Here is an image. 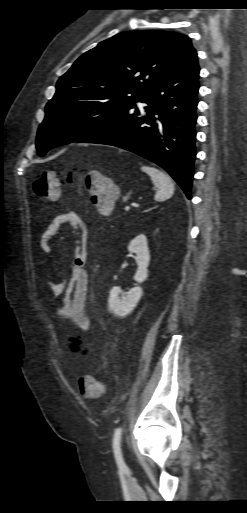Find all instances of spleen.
Listing matches in <instances>:
<instances>
[{
  "label": "spleen",
  "mask_w": 247,
  "mask_h": 513,
  "mask_svg": "<svg viewBox=\"0 0 247 513\" xmlns=\"http://www.w3.org/2000/svg\"><path fill=\"white\" fill-rule=\"evenodd\" d=\"M141 170L150 176L152 182L156 186L157 192L155 194V200L157 202H162L172 197L175 185L170 176L149 166H142Z\"/></svg>",
  "instance_id": "1"
}]
</instances>
